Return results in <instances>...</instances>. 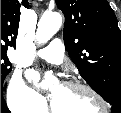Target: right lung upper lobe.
I'll list each match as a JSON object with an SVG mask.
<instances>
[{"instance_id":"cb5924a9","label":"right lung upper lobe","mask_w":121,"mask_h":113,"mask_svg":"<svg viewBox=\"0 0 121 113\" xmlns=\"http://www.w3.org/2000/svg\"><path fill=\"white\" fill-rule=\"evenodd\" d=\"M22 5L28 8L27 0H22ZM20 6L18 0H1V52L16 46Z\"/></svg>"}]
</instances>
